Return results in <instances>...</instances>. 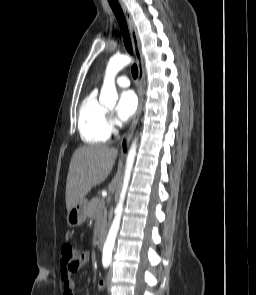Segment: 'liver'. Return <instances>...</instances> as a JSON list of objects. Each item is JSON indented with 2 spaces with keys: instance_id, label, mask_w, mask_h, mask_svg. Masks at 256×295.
Masks as SVG:
<instances>
[{
  "instance_id": "obj_1",
  "label": "liver",
  "mask_w": 256,
  "mask_h": 295,
  "mask_svg": "<svg viewBox=\"0 0 256 295\" xmlns=\"http://www.w3.org/2000/svg\"><path fill=\"white\" fill-rule=\"evenodd\" d=\"M118 151L108 145H88L75 150L69 165L66 182V208L72 209L89 191L110 174ZM118 176L109 185L114 192Z\"/></svg>"
}]
</instances>
